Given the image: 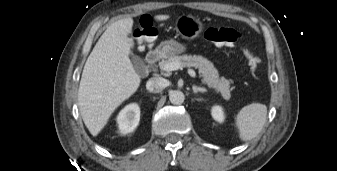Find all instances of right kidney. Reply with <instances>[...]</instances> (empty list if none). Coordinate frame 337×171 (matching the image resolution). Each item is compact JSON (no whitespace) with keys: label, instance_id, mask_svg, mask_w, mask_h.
Returning <instances> with one entry per match:
<instances>
[{"label":"right kidney","instance_id":"ca27d5eb","mask_svg":"<svg viewBox=\"0 0 337 171\" xmlns=\"http://www.w3.org/2000/svg\"><path fill=\"white\" fill-rule=\"evenodd\" d=\"M140 108L137 104L125 106L117 116V124L120 133L126 134L132 132L139 124Z\"/></svg>","mask_w":337,"mask_h":171}]
</instances>
